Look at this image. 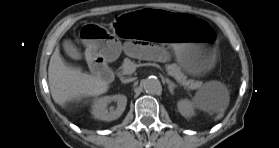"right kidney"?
Here are the masks:
<instances>
[{"label":"right kidney","instance_id":"right-kidney-1","mask_svg":"<svg viewBox=\"0 0 279 148\" xmlns=\"http://www.w3.org/2000/svg\"><path fill=\"white\" fill-rule=\"evenodd\" d=\"M116 102L117 107L108 109L111 102ZM127 105V97L125 95L104 96L94 101L92 105V114L95 118L112 121L118 119L125 110Z\"/></svg>","mask_w":279,"mask_h":148}]
</instances>
